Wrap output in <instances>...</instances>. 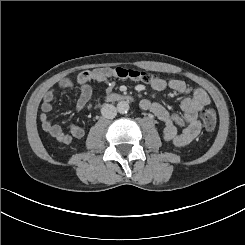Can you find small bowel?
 Returning a JSON list of instances; mask_svg holds the SVG:
<instances>
[{"label": "small bowel", "mask_w": 245, "mask_h": 245, "mask_svg": "<svg viewBox=\"0 0 245 245\" xmlns=\"http://www.w3.org/2000/svg\"><path fill=\"white\" fill-rule=\"evenodd\" d=\"M110 68H101L85 73L88 81L96 82L104 85L106 93L111 91L115 86L116 81L112 75ZM151 88L155 91H163L167 88L173 90L177 94L188 95L181 102L183 115L171 113L159 103L143 100L142 108L154 114L163 124V138L166 141L172 142L177 147H183L194 140L201 130V123L198 119V113L205 106L210 104L209 94L202 88L192 90L188 84L180 79L165 80L155 78L151 82ZM59 86L62 88H72L73 84L69 79L59 81ZM95 92V86L92 83H85L81 87V93L77 100L75 110L80 111L92 99ZM55 92L53 89L47 90L42 98L40 105V122L42 129L52 138L63 144H69L73 139H80L84 136V130L71 124L69 132L54 123L48 116L53 110V99Z\"/></svg>", "instance_id": "c3829d8e"}]
</instances>
